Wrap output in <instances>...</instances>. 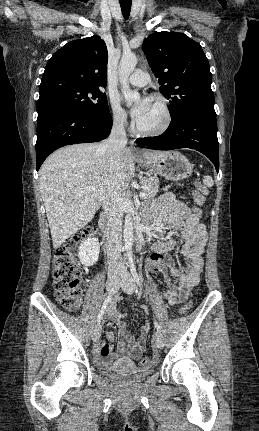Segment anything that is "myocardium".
<instances>
[{
	"label": "myocardium",
	"mask_w": 259,
	"mask_h": 431,
	"mask_svg": "<svg viewBox=\"0 0 259 431\" xmlns=\"http://www.w3.org/2000/svg\"><path fill=\"white\" fill-rule=\"evenodd\" d=\"M151 100L157 102L163 112V122L162 124L154 130H143L138 127L137 123L134 125V131L136 134L143 137H157L164 134L170 127L172 122V114L168 100L159 93H154L151 95Z\"/></svg>",
	"instance_id": "myocardium-1"
}]
</instances>
